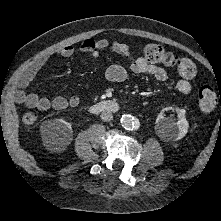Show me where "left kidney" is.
Returning a JSON list of instances; mask_svg holds the SVG:
<instances>
[{"instance_id": "1", "label": "left kidney", "mask_w": 221, "mask_h": 221, "mask_svg": "<svg viewBox=\"0 0 221 221\" xmlns=\"http://www.w3.org/2000/svg\"><path fill=\"white\" fill-rule=\"evenodd\" d=\"M176 111L178 120L164 117V112ZM189 123L186 119V111L180 108L166 107L158 114L156 119V133L166 141H177L182 139L188 132Z\"/></svg>"}]
</instances>
